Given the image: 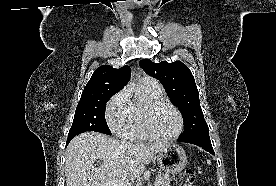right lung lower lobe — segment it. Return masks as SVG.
<instances>
[{"instance_id": "98d812e1", "label": "right lung lower lobe", "mask_w": 276, "mask_h": 186, "mask_svg": "<svg viewBox=\"0 0 276 186\" xmlns=\"http://www.w3.org/2000/svg\"><path fill=\"white\" fill-rule=\"evenodd\" d=\"M74 136H76V135L68 136L67 144L72 140V138H73Z\"/></svg>"}]
</instances>
